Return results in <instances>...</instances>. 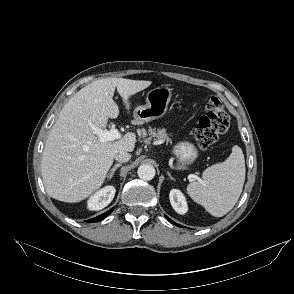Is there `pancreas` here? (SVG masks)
Wrapping results in <instances>:
<instances>
[{
  "label": "pancreas",
  "instance_id": "pancreas-1",
  "mask_svg": "<svg viewBox=\"0 0 294 294\" xmlns=\"http://www.w3.org/2000/svg\"><path fill=\"white\" fill-rule=\"evenodd\" d=\"M149 132V140H151L152 138H155V140L159 141V142H164L166 141L171 142L170 138L168 137L166 130L165 129H158L157 131L153 128H149L148 129Z\"/></svg>",
  "mask_w": 294,
  "mask_h": 294
}]
</instances>
